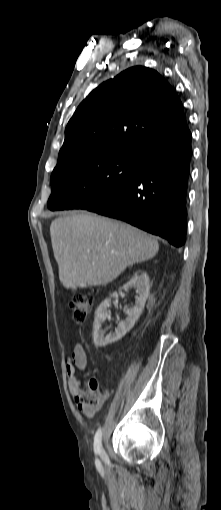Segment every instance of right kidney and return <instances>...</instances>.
<instances>
[{
  "mask_svg": "<svg viewBox=\"0 0 221 510\" xmlns=\"http://www.w3.org/2000/svg\"><path fill=\"white\" fill-rule=\"evenodd\" d=\"M136 288L138 297L135 305L126 310L127 317L124 321L118 323L115 332L104 336V331L101 330L102 323L110 317L108 312L109 303L111 298L104 300L95 312V320L93 324V341L96 347H104L120 340L136 323L139 319L142 310L144 309L146 300L149 295L150 285L149 277L144 272L136 273L123 287V290ZM111 297L117 298V292H114Z\"/></svg>",
  "mask_w": 221,
  "mask_h": 510,
  "instance_id": "right-kidney-1",
  "label": "right kidney"
}]
</instances>
